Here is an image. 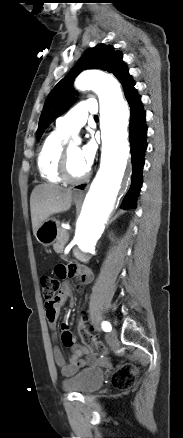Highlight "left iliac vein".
Wrapping results in <instances>:
<instances>
[{"instance_id": "1", "label": "left iliac vein", "mask_w": 183, "mask_h": 438, "mask_svg": "<svg viewBox=\"0 0 183 438\" xmlns=\"http://www.w3.org/2000/svg\"><path fill=\"white\" fill-rule=\"evenodd\" d=\"M117 339V334L115 330H112L109 334H107V340L110 343H115Z\"/></svg>"}]
</instances>
